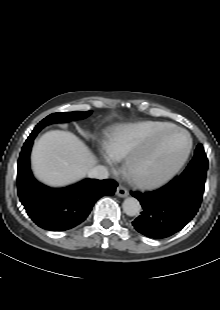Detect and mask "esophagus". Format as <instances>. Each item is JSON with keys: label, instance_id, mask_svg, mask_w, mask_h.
Segmentation results:
<instances>
[{"label": "esophagus", "instance_id": "esophagus-1", "mask_svg": "<svg viewBox=\"0 0 220 310\" xmlns=\"http://www.w3.org/2000/svg\"><path fill=\"white\" fill-rule=\"evenodd\" d=\"M116 195L118 197L124 198V197H127L129 195V192H128V190L125 187L118 186L117 189H116Z\"/></svg>", "mask_w": 220, "mask_h": 310}]
</instances>
